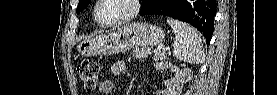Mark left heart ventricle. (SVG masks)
Returning <instances> with one entry per match:
<instances>
[{
	"label": "left heart ventricle",
	"mask_w": 277,
	"mask_h": 95,
	"mask_svg": "<svg viewBox=\"0 0 277 95\" xmlns=\"http://www.w3.org/2000/svg\"><path fill=\"white\" fill-rule=\"evenodd\" d=\"M127 11V5L121 0H106L98 9L103 21H109L122 16Z\"/></svg>",
	"instance_id": "b2bd125f"
}]
</instances>
